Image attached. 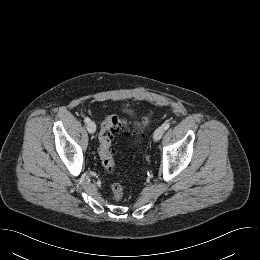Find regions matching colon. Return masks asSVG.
<instances>
[{"instance_id":"obj_1","label":"colon","mask_w":260,"mask_h":260,"mask_svg":"<svg viewBox=\"0 0 260 260\" xmlns=\"http://www.w3.org/2000/svg\"><path fill=\"white\" fill-rule=\"evenodd\" d=\"M149 118L150 115H147L140 121L132 123L118 115H108L105 117L98 136V158L107 173H113L116 169L112 149L114 135L120 132L129 133L131 129L138 130L148 123ZM111 189L114 199L117 201L121 200L123 197V185L116 182L112 185Z\"/></svg>"}]
</instances>
